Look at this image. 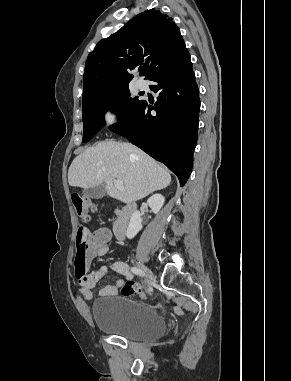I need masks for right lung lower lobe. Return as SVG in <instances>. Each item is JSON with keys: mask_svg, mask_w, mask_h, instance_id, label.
I'll return each mask as SVG.
<instances>
[{"mask_svg": "<svg viewBox=\"0 0 291 381\" xmlns=\"http://www.w3.org/2000/svg\"><path fill=\"white\" fill-rule=\"evenodd\" d=\"M149 80L158 92L154 106L142 101L135 112L110 129L125 136L174 172L181 186L192 169L200 111L199 90L185 48ZM155 110L156 114H151Z\"/></svg>", "mask_w": 291, "mask_h": 381, "instance_id": "obj_1", "label": "right lung lower lobe"}]
</instances>
